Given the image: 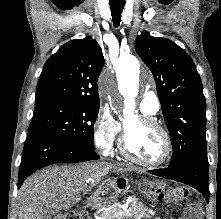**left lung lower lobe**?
<instances>
[{"mask_svg": "<svg viewBox=\"0 0 221 219\" xmlns=\"http://www.w3.org/2000/svg\"><path fill=\"white\" fill-rule=\"evenodd\" d=\"M209 163L207 153L194 154L175 167L150 170L149 173L185 183L197 189L209 201L208 186Z\"/></svg>", "mask_w": 221, "mask_h": 219, "instance_id": "obj_1", "label": "left lung lower lobe"}]
</instances>
